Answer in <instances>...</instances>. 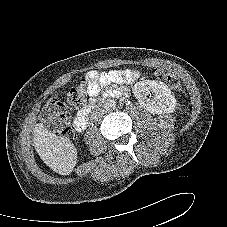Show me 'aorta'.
I'll use <instances>...</instances> for the list:
<instances>
[{
  "mask_svg": "<svg viewBox=\"0 0 227 227\" xmlns=\"http://www.w3.org/2000/svg\"><path fill=\"white\" fill-rule=\"evenodd\" d=\"M104 108L108 111L114 110L116 108V102L112 99H107L104 102Z\"/></svg>",
  "mask_w": 227,
  "mask_h": 227,
  "instance_id": "762f6f07",
  "label": "aorta"
}]
</instances>
